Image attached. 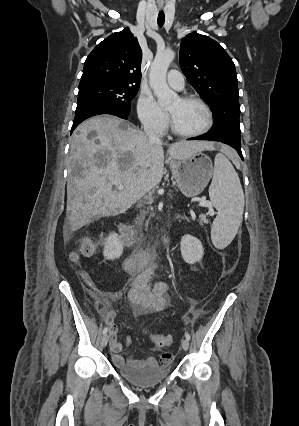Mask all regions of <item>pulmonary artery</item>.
<instances>
[{"label":"pulmonary artery","instance_id":"pulmonary-artery-1","mask_svg":"<svg viewBox=\"0 0 299 426\" xmlns=\"http://www.w3.org/2000/svg\"><path fill=\"white\" fill-rule=\"evenodd\" d=\"M167 82L171 87L177 90H182L185 84L182 73L175 69H172L168 72Z\"/></svg>","mask_w":299,"mask_h":426}]
</instances>
